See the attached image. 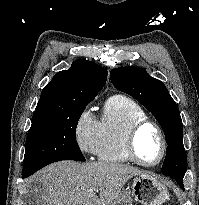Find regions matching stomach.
I'll list each match as a JSON object with an SVG mask.
<instances>
[{
	"mask_svg": "<svg viewBox=\"0 0 199 205\" xmlns=\"http://www.w3.org/2000/svg\"><path fill=\"white\" fill-rule=\"evenodd\" d=\"M168 197L166 186L158 178L141 174L133 179L131 189H124L111 205H132L133 200L142 205H162Z\"/></svg>",
	"mask_w": 199,
	"mask_h": 205,
	"instance_id": "0dacf381",
	"label": "stomach"
}]
</instances>
